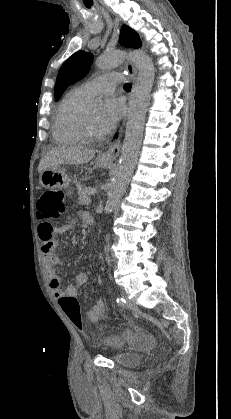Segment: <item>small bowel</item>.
<instances>
[{
    "label": "small bowel",
    "mask_w": 231,
    "mask_h": 419,
    "mask_svg": "<svg viewBox=\"0 0 231 419\" xmlns=\"http://www.w3.org/2000/svg\"><path fill=\"white\" fill-rule=\"evenodd\" d=\"M89 217L90 215L86 213L82 215L84 222H87ZM68 229V224L53 226L49 221H44L38 226V236L42 241L41 254L49 279V285L54 296L59 300L63 296L77 297L80 287L88 282V274L86 272H79L76 274L73 283L69 284L65 290L61 288V280L55 268L57 261L56 250L58 247V241L55 236L66 233ZM105 309V302L102 299H98L87 312L88 319L93 323H98L104 317ZM143 341H145V338L142 336L134 335L132 338V344H138Z\"/></svg>",
    "instance_id": "obj_1"
}]
</instances>
